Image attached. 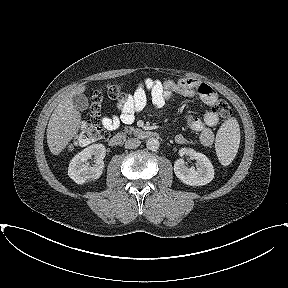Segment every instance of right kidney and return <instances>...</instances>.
I'll list each match as a JSON object with an SVG mask.
<instances>
[{"label": "right kidney", "instance_id": "1", "mask_svg": "<svg viewBox=\"0 0 288 288\" xmlns=\"http://www.w3.org/2000/svg\"><path fill=\"white\" fill-rule=\"evenodd\" d=\"M106 149L103 144H93L76 154L68 167V175L77 184H84L88 180L98 179L104 168ZM94 156L95 163L91 167L87 162Z\"/></svg>", "mask_w": 288, "mask_h": 288}]
</instances>
